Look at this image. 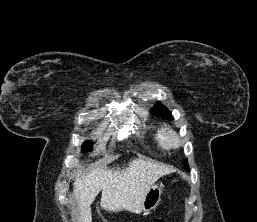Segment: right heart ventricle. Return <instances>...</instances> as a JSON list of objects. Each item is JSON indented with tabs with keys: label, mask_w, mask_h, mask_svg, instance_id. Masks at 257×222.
Instances as JSON below:
<instances>
[{
	"label": "right heart ventricle",
	"mask_w": 257,
	"mask_h": 222,
	"mask_svg": "<svg viewBox=\"0 0 257 222\" xmlns=\"http://www.w3.org/2000/svg\"><path fill=\"white\" fill-rule=\"evenodd\" d=\"M163 132L162 128H154L151 131V137L159 148L165 149L167 144L165 143Z\"/></svg>",
	"instance_id": "right-heart-ventricle-1"
}]
</instances>
